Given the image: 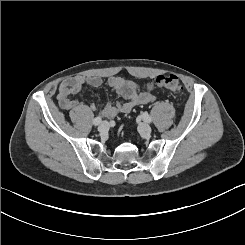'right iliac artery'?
Listing matches in <instances>:
<instances>
[{"label": "right iliac artery", "mask_w": 245, "mask_h": 245, "mask_svg": "<svg viewBox=\"0 0 245 245\" xmlns=\"http://www.w3.org/2000/svg\"><path fill=\"white\" fill-rule=\"evenodd\" d=\"M102 122V118L100 116L96 117L94 120H93V124L95 126L99 125L100 123Z\"/></svg>", "instance_id": "right-iliac-artery-1"}]
</instances>
